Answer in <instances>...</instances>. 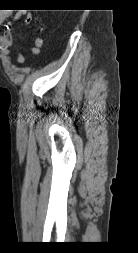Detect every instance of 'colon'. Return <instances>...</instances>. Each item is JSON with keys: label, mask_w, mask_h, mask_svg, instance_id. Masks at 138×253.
<instances>
[{"label": "colon", "mask_w": 138, "mask_h": 253, "mask_svg": "<svg viewBox=\"0 0 138 253\" xmlns=\"http://www.w3.org/2000/svg\"><path fill=\"white\" fill-rule=\"evenodd\" d=\"M44 39L42 37H37L34 42V47L32 48V52L34 54H39L44 47Z\"/></svg>", "instance_id": "5ec220e1"}]
</instances>
